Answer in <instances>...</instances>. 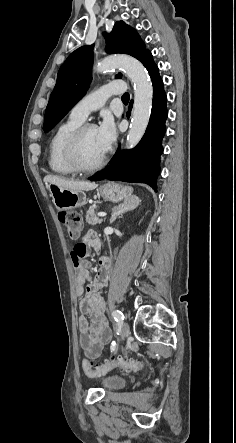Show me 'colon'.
<instances>
[{"mask_svg": "<svg viewBox=\"0 0 236 443\" xmlns=\"http://www.w3.org/2000/svg\"><path fill=\"white\" fill-rule=\"evenodd\" d=\"M58 217L60 222L66 228L70 237H77L81 233L83 221L79 213L62 211L59 213ZM71 255L75 262L74 266L76 268L78 266V261L85 256V247H74L71 251ZM83 368L87 376L99 377L115 368H120L128 372H136L143 370L144 366L139 362L127 361L121 357H117L106 360L104 363L94 368L92 362L90 361V356H86L83 361Z\"/></svg>", "mask_w": 236, "mask_h": 443, "instance_id": "5ec220e1", "label": "colon"}]
</instances>
